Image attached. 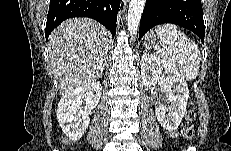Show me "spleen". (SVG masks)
Listing matches in <instances>:
<instances>
[{
	"instance_id": "3e777b00",
	"label": "spleen",
	"mask_w": 231,
	"mask_h": 151,
	"mask_svg": "<svg viewBox=\"0 0 231 151\" xmlns=\"http://www.w3.org/2000/svg\"><path fill=\"white\" fill-rule=\"evenodd\" d=\"M160 45L155 54L172 66L178 67L181 76L194 80L199 72L200 50L198 45L173 24H163L155 28Z\"/></svg>"
}]
</instances>
